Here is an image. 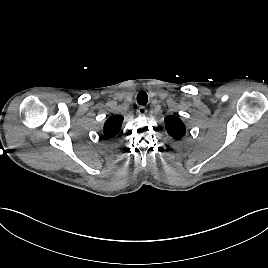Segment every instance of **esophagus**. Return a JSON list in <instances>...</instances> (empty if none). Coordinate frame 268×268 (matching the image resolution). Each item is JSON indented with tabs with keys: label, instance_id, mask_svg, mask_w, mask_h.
<instances>
[{
	"label": "esophagus",
	"instance_id": "1",
	"mask_svg": "<svg viewBox=\"0 0 268 268\" xmlns=\"http://www.w3.org/2000/svg\"><path fill=\"white\" fill-rule=\"evenodd\" d=\"M147 112V109L144 107V106H140L138 109H137V113L141 116L145 115Z\"/></svg>",
	"mask_w": 268,
	"mask_h": 268
}]
</instances>
